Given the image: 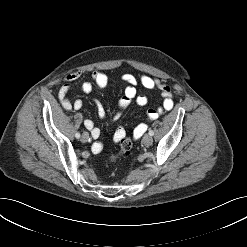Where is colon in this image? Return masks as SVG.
<instances>
[{
	"mask_svg": "<svg viewBox=\"0 0 247 247\" xmlns=\"http://www.w3.org/2000/svg\"><path fill=\"white\" fill-rule=\"evenodd\" d=\"M116 139L120 142V151L116 155H112L109 157L111 162L118 160L122 156L129 155L132 149V140L129 137L122 136L121 134H116Z\"/></svg>",
	"mask_w": 247,
	"mask_h": 247,
	"instance_id": "5ec220e1",
	"label": "colon"
}]
</instances>
